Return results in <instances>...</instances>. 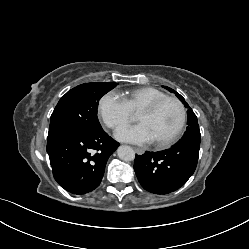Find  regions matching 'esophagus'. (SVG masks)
<instances>
[{"label":"esophagus","instance_id":"esophagus-1","mask_svg":"<svg viewBox=\"0 0 249 249\" xmlns=\"http://www.w3.org/2000/svg\"><path fill=\"white\" fill-rule=\"evenodd\" d=\"M133 149L139 155H142L144 153V150L142 148L134 147Z\"/></svg>","mask_w":249,"mask_h":249}]
</instances>
